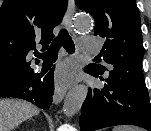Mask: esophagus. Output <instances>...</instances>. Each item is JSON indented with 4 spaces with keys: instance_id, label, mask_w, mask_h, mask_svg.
I'll return each mask as SVG.
<instances>
[{
    "instance_id": "esophagus-1",
    "label": "esophagus",
    "mask_w": 151,
    "mask_h": 131,
    "mask_svg": "<svg viewBox=\"0 0 151 131\" xmlns=\"http://www.w3.org/2000/svg\"><path fill=\"white\" fill-rule=\"evenodd\" d=\"M74 13H75V2H74V0H69L65 23H66L67 29L71 33H73L72 18L74 16ZM65 94H66V89L65 88L56 87L55 88V93H54V96H53L54 103L55 104L60 103L62 101V99L64 98Z\"/></svg>"
}]
</instances>
